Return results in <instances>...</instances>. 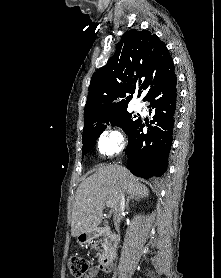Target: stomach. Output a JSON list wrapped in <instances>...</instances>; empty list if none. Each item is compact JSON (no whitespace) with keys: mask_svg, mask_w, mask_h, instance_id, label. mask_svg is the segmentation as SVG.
Segmentation results:
<instances>
[{"mask_svg":"<svg viewBox=\"0 0 221 278\" xmlns=\"http://www.w3.org/2000/svg\"><path fill=\"white\" fill-rule=\"evenodd\" d=\"M81 235L78 236V242L82 244V243H85V240L81 239Z\"/></svg>","mask_w":221,"mask_h":278,"instance_id":"stomach-1","label":"stomach"}]
</instances>
